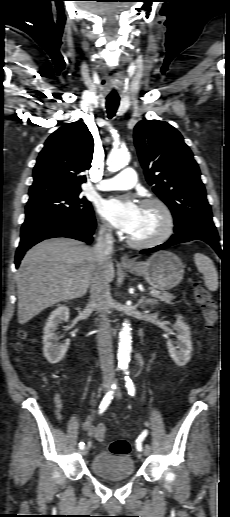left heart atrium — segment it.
<instances>
[{"instance_id":"39dd6f15","label":"left heart atrium","mask_w":230,"mask_h":517,"mask_svg":"<svg viewBox=\"0 0 230 517\" xmlns=\"http://www.w3.org/2000/svg\"><path fill=\"white\" fill-rule=\"evenodd\" d=\"M99 213L113 226L130 234L140 217V207L131 200L110 198L99 204Z\"/></svg>"}]
</instances>
